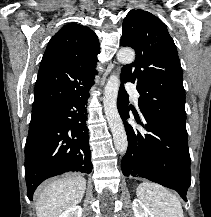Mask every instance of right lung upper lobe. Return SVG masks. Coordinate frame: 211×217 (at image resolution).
I'll return each mask as SVG.
<instances>
[{
    "instance_id": "cb5924a9",
    "label": "right lung upper lobe",
    "mask_w": 211,
    "mask_h": 217,
    "mask_svg": "<svg viewBox=\"0 0 211 217\" xmlns=\"http://www.w3.org/2000/svg\"><path fill=\"white\" fill-rule=\"evenodd\" d=\"M100 45L86 26H63L49 41L35 85L32 114L59 105L89 89L97 74Z\"/></svg>"
}]
</instances>
